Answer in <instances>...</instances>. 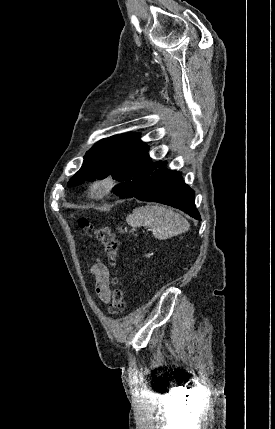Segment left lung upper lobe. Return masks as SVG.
<instances>
[{"label": "left lung upper lobe", "mask_w": 275, "mask_h": 429, "mask_svg": "<svg viewBox=\"0 0 275 429\" xmlns=\"http://www.w3.org/2000/svg\"><path fill=\"white\" fill-rule=\"evenodd\" d=\"M139 137L138 134L127 133L97 142L85 154L81 169L70 179L68 187L112 175L118 181H125L118 185L121 194L127 191L152 163L149 148Z\"/></svg>", "instance_id": "obj_1"}]
</instances>
